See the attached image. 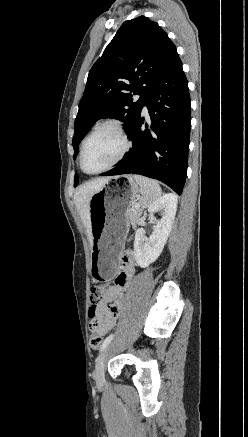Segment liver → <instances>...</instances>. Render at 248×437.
<instances>
[{
  "instance_id": "1",
  "label": "liver",
  "mask_w": 248,
  "mask_h": 437,
  "mask_svg": "<svg viewBox=\"0 0 248 437\" xmlns=\"http://www.w3.org/2000/svg\"><path fill=\"white\" fill-rule=\"evenodd\" d=\"M110 178H97L77 188L74 193V203L80 214L84 226L87 230V235L92 245V233L90 223V200L92 195L97 192Z\"/></svg>"
}]
</instances>
